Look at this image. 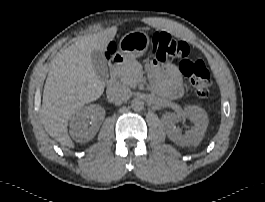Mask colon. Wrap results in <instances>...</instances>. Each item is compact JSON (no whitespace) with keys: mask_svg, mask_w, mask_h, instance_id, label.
Listing matches in <instances>:
<instances>
[{"mask_svg":"<svg viewBox=\"0 0 265 202\" xmlns=\"http://www.w3.org/2000/svg\"><path fill=\"white\" fill-rule=\"evenodd\" d=\"M151 43L153 56L158 63L181 59L179 70L187 78L195 93L201 98L210 95L209 72L203 61L189 58L190 48L185 41L174 38L168 32L157 31L152 34ZM113 52L114 47L109 48L108 55Z\"/></svg>","mask_w":265,"mask_h":202,"instance_id":"1","label":"colon"}]
</instances>
